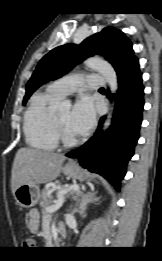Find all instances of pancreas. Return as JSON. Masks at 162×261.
<instances>
[{"label":"pancreas","instance_id":"pancreas-1","mask_svg":"<svg viewBox=\"0 0 162 261\" xmlns=\"http://www.w3.org/2000/svg\"><path fill=\"white\" fill-rule=\"evenodd\" d=\"M56 188L58 189V192L60 190H64L67 188L66 185L56 184ZM73 192H70L69 194H72ZM65 197V195H64ZM53 190L51 186H45L42 194H41V202L40 206L42 207V213H46V207L51 205L53 203Z\"/></svg>","mask_w":162,"mask_h":261}]
</instances>
